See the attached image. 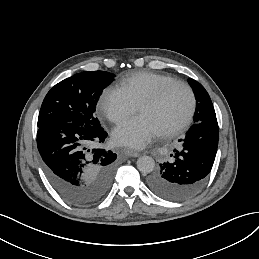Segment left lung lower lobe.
<instances>
[{"mask_svg": "<svg viewBox=\"0 0 259 259\" xmlns=\"http://www.w3.org/2000/svg\"><path fill=\"white\" fill-rule=\"evenodd\" d=\"M219 129L217 120L194 124L180 139L174 160L160 164V169L147 181L156 195L171 201H182L196 194L213 166Z\"/></svg>", "mask_w": 259, "mask_h": 259, "instance_id": "1", "label": "left lung lower lobe"}]
</instances>
